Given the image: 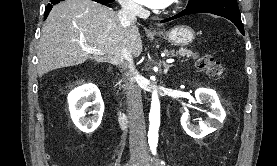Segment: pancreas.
I'll return each instance as SVG.
<instances>
[{
  "mask_svg": "<svg viewBox=\"0 0 277 166\" xmlns=\"http://www.w3.org/2000/svg\"><path fill=\"white\" fill-rule=\"evenodd\" d=\"M166 54L171 56L179 55V58L181 57L189 58L190 56L193 55V52L190 49L181 48L178 51H175V50L166 51Z\"/></svg>",
  "mask_w": 277,
  "mask_h": 166,
  "instance_id": "obj_1",
  "label": "pancreas"
}]
</instances>
